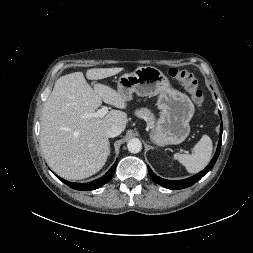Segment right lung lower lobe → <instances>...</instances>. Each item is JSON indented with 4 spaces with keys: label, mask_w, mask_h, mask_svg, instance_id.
Listing matches in <instances>:
<instances>
[{
    "label": "right lung lower lobe",
    "mask_w": 253,
    "mask_h": 253,
    "mask_svg": "<svg viewBox=\"0 0 253 253\" xmlns=\"http://www.w3.org/2000/svg\"><path fill=\"white\" fill-rule=\"evenodd\" d=\"M116 169V163L110 168V170L101 178H98L94 181H91L89 183H72L65 181L64 179L58 178L67 184L69 187L76 189V190H83V191H90V190H95L98 189L99 187L103 186L105 183H107L113 176L114 172Z\"/></svg>",
    "instance_id": "98d812e1"
}]
</instances>
